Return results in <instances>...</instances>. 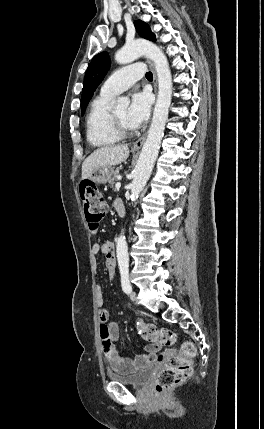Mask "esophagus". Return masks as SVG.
I'll use <instances>...</instances> for the list:
<instances>
[{
  "instance_id": "obj_1",
  "label": "esophagus",
  "mask_w": 264,
  "mask_h": 429,
  "mask_svg": "<svg viewBox=\"0 0 264 429\" xmlns=\"http://www.w3.org/2000/svg\"><path fill=\"white\" fill-rule=\"evenodd\" d=\"M147 63L149 64L150 68L153 71V84H154V90H155V93H156L157 92V77H156V72H155V69H154V65L149 60L147 61ZM146 135H147V133H145L141 138H139L136 142H134L133 145H132V147L134 149L141 148L142 145H143V143L145 142Z\"/></svg>"
}]
</instances>
